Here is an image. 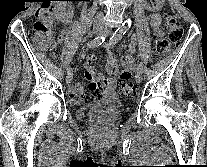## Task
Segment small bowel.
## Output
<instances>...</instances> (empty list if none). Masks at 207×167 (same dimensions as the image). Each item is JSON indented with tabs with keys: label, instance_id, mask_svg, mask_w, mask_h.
Instances as JSON below:
<instances>
[{
	"label": "small bowel",
	"instance_id": "1",
	"mask_svg": "<svg viewBox=\"0 0 207 167\" xmlns=\"http://www.w3.org/2000/svg\"><path fill=\"white\" fill-rule=\"evenodd\" d=\"M161 0H156V2H160ZM157 8V7H156ZM151 27L153 29L155 36H162V18L161 15L157 12L153 13L151 16ZM66 36V31H63L60 35V41H63ZM136 43V39L132 38L131 46L133 47ZM108 48V47H107ZM95 57L92 55H87L84 58V67H85V78L89 82V90L90 96L86 99L88 103H93L98 99L111 98L115 95L116 88V77L118 73V65L116 60L109 54L106 58V70L109 74L108 77H104L102 74L96 72V69L93 65L95 62ZM123 63V74H125L128 78L131 73L135 70V62L132 57L126 56L122 59ZM68 98L70 104L73 106H78L83 103L85 100V94L83 86L79 83L71 85L68 88Z\"/></svg>",
	"mask_w": 207,
	"mask_h": 167
}]
</instances>
